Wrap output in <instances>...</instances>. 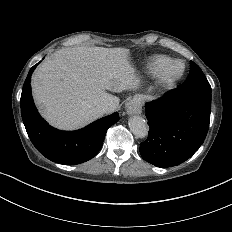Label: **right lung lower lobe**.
<instances>
[{
    "instance_id": "obj_1",
    "label": "right lung lower lobe",
    "mask_w": 232,
    "mask_h": 232,
    "mask_svg": "<svg viewBox=\"0 0 232 232\" xmlns=\"http://www.w3.org/2000/svg\"><path fill=\"white\" fill-rule=\"evenodd\" d=\"M25 80L21 95V115L28 136L36 149L49 160L76 165L93 158L101 149L108 128L119 120L118 112L103 117L77 131H61L47 124L39 115L31 93V75Z\"/></svg>"
}]
</instances>
